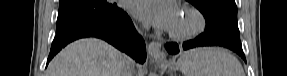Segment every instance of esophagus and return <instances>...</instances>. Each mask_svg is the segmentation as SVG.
<instances>
[{"label":"esophagus","instance_id":"34e87169","mask_svg":"<svg viewBox=\"0 0 287 76\" xmlns=\"http://www.w3.org/2000/svg\"><path fill=\"white\" fill-rule=\"evenodd\" d=\"M148 53L156 62H163L166 60V54L161 49V44L158 41H151L148 45Z\"/></svg>","mask_w":287,"mask_h":76}]
</instances>
